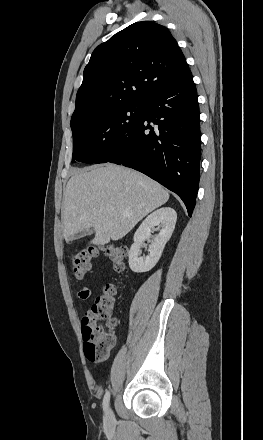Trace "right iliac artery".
Wrapping results in <instances>:
<instances>
[{
    "label": "right iliac artery",
    "mask_w": 263,
    "mask_h": 440,
    "mask_svg": "<svg viewBox=\"0 0 263 440\" xmlns=\"http://www.w3.org/2000/svg\"><path fill=\"white\" fill-rule=\"evenodd\" d=\"M109 400H110V392L107 391L105 393V395H104V398H103V409H104V411H106L107 408H108Z\"/></svg>",
    "instance_id": "1"
}]
</instances>
